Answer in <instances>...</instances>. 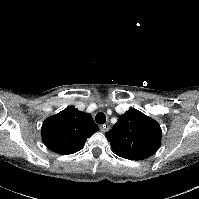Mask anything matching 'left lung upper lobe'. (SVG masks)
Here are the masks:
<instances>
[{"mask_svg":"<svg viewBox=\"0 0 199 199\" xmlns=\"http://www.w3.org/2000/svg\"><path fill=\"white\" fill-rule=\"evenodd\" d=\"M105 136L120 157L142 160L159 149L162 132L155 120L131 108Z\"/></svg>","mask_w":199,"mask_h":199,"instance_id":"left-lung-upper-lobe-1","label":"left lung upper lobe"}]
</instances>
